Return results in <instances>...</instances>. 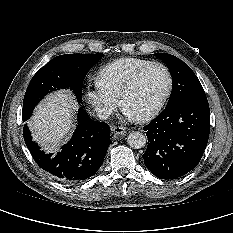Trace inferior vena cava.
I'll use <instances>...</instances> for the list:
<instances>
[{
    "mask_svg": "<svg viewBox=\"0 0 233 233\" xmlns=\"http://www.w3.org/2000/svg\"><path fill=\"white\" fill-rule=\"evenodd\" d=\"M97 117L102 120H107L111 114V111L106 107H97L96 108Z\"/></svg>",
    "mask_w": 233,
    "mask_h": 233,
    "instance_id": "obj_1",
    "label": "inferior vena cava"
}]
</instances>
